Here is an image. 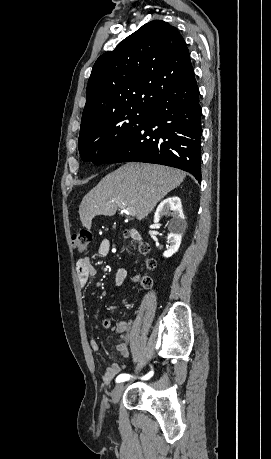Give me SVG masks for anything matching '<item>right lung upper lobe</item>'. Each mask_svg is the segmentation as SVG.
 Here are the masks:
<instances>
[{"instance_id": "obj_1", "label": "right lung upper lobe", "mask_w": 271, "mask_h": 459, "mask_svg": "<svg viewBox=\"0 0 271 459\" xmlns=\"http://www.w3.org/2000/svg\"><path fill=\"white\" fill-rule=\"evenodd\" d=\"M194 76L179 31L153 20L95 62L86 90L82 122L149 105Z\"/></svg>"}]
</instances>
